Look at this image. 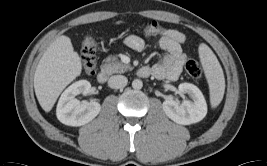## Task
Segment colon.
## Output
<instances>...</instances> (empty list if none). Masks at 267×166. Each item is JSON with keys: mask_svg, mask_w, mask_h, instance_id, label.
Returning a JSON list of instances; mask_svg holds the SVG:
<instances>
[{"mask_svg": "<svg viewBox=\"0 0 267 166\" xmlns=\"http://www.w3.org/2000/svg\"><path fill=\"white\" fill-rule=\"evenodd\" d=\"M144 32L147 35H159L164 32V28L159 22L152 21L145 27ZM97 47H98L97 41L92 36H86L82 40L81 43L82 66L83 70L87 74H93L95 72L97 64V58H96ZM185 70L191 77L195 79H201L203 76L200 64L193 59L186 60Z\"/></svg>", "mask_w": 267, "mask_h": 166, "instance_id": "1", "label": "colon"}]
</instances>
